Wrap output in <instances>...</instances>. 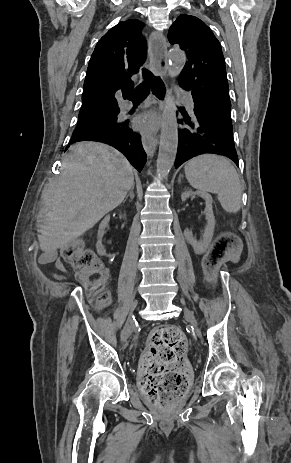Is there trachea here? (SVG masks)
Listing matches in <instances>:
<instances>
[{
  "instance_id": "3493384b",
  "label": "trachea",
  "mask_w": 291,
  "mask_h": 463,
  "mask_svg": "<svg viewBox=\"0 0 291 463\" xmlns=\"http://www.w3.org/2000/svg\"><path fill=\"white\" fill-rule=\"evenodd\" d=\"M142 74L144 81L132 92H123V97L129 99L132 102H141L150 93V89L153 94L159 99H163L165 96V86L159 77H156L146 68H143Z\"/></svg>"
}]
</instances>
